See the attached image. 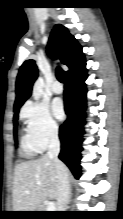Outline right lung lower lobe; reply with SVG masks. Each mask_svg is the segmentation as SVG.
Here are the masks:
<instances>
[{"label":"right lung lower lobe","mask_w":123,"mask_h":219,"mask_svg":"<svg viewBox=\"0 0 123 219\" xmlns=\"http://www.w3.org/2000/svg\"><path fill=\"white\" fill-rule=\"evenodd\" d=\"M86 63L67 75L64 90L66 121L60 126L59 138L61 141V152L59 158L70 168L76 178L81 175V151L83 125L86 117V85L87 78Z\"/></svg>","instance_id":"obj_1"}]
</instances>
